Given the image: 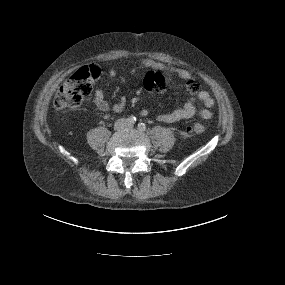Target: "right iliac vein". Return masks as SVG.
Instances as JSON below:
<instances>
[{"instance_id":"right-iliac-vein-1","label":"right iliac vein","mask_w":285,"mask_h":285,"mask_svg":"<svg viewBox=\"0 0 285 285\" xmlns=\"http://www.w3.org/2000/svg\"><path fill=\"white\" fill-rule=\"evenodd\" d=\"M124 127V124L123 123H120L119 124V128H123Z\"/></svg>"}]
</instances>
